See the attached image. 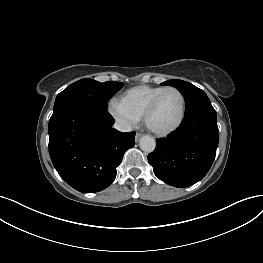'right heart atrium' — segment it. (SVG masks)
Returning a JSON list of instances; mask_svg holds the SVG:
<instances>
[{
  "label": "right heart atrium",
  "instance_id": "obj_1",
  "mask_svg": "<svg viewBox=\"0 0 263 263\" xmlns=\"http://www.w3.org/2000/svg\"><path fill=\"white\" fill-rule=\"evenodd\" d=\"M108 111L118 125L124 130H130L139 123L140 118L130 112L119 100H111Z\"/></svg>",
  "mask_w": 263,
  "mask_h": 263
}]
</instances>
